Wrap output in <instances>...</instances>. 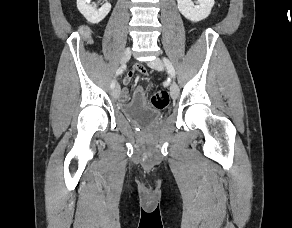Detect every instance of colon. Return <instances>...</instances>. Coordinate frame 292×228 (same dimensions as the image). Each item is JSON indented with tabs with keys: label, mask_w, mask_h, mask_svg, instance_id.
Here are the masks:
<instances>
[{
	"label": "colon",
	"mask_w": 292,
	"mask_h": 228,
	"mask_svg": "<svg viewBox=\"0 0 292 228\" xmlns=\"http://www.w3.org/2000/svg\"><path fill=\"white\" fill-rule=\"evenodd\" d=\"M83 34L87 37L88 33L83 31ZM169 94L166 91H158L151 98V104L154 108L162 110L169 104Z\"/></svg>",
	"instance_id": "colon-1"
}]
</instances>
